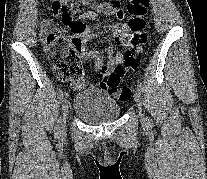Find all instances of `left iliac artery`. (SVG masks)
I'll use <instances>...</instances> for the list:
<instances>
[{
	"label": "left iliac artery",
	"mask_w": 207,
	"mask_h": 179,
	"mask_svg": "<svg viewBox=\"0 0 207 179\" xmlns=\"http://www.w3.org/2000/svg\"><path fill=\"white\" fill-rule=\"evenodd\" d=\"M137 88H138L139 91H142V92L144 90V86H143V84L141 82H138Z\"/></svg>",
	"instance_id": "obj_1"
}]
</instances>
